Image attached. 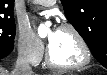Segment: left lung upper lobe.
Instances as JSON below:
<instances>
[{
    "instance_id": "left-lung-upper-lobe-1",
    "label": "left lung upper lobe",
    "mask_w": 107,
    "mask_h": 75,
    "mask_svg": "<svg viewBox=\"0 0 107 75\" xmlns=\"http://www.w3.org/2000/svg\"><path fill=\"white\" fill-rule=\"evenodd\" d=\"M68 21L83 37L94 55L106 49L107 62V0H61ZM107 68V65H103Z\"/></svg>"
}]
</instances>
